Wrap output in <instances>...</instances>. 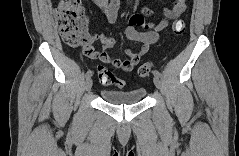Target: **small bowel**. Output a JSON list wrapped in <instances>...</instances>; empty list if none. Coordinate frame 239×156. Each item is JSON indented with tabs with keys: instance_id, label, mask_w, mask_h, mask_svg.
I'll return each instance as SVG.
<instances>
[{
	"instance_id": "1",
	"label": "small bowel",
	"mask_w": 239,
	"mask_h": 156,
	"mask_svg": "<svg viewBox=\"0 0 239 156\" xmlns=\"http://www.w3.org/2000/svg\"><path fill=\"white\" fill-rule=\"evenodd\" d=\"M96 5L102 10L110 24L116 23L119 9V2L117 0H96ZM185 10V1L175 0L171 7L164 9V18L158 22L145 21V16H149L152 13L146 6L142 7L140 15L131 16L128 20V26L125 29L126 38L131 41L140 42L142 46L137 52L127 49L126 53L129 55L128 59H116L108 53L107 50L115 43L114 38L108 34H101L99 36L102 41L100 50H96L93 47V39L90 38L88 44L83 47V52L91 59H99L105 64H110L115 68L130 72L139 63L140 58L146 54L149 46L158 40L159 32L167 28L169 21L179 18ZM137 26L144 27V30H138Z\"/></svg>"
}]
</instances>
